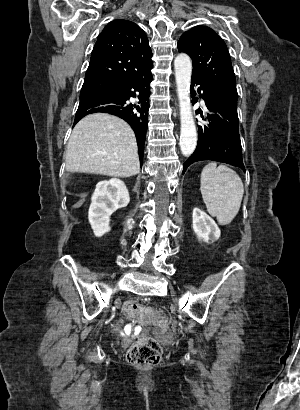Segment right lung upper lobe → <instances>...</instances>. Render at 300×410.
Instances as JSON below:
<instances>
[{
	"instance_id": "cb5924a9",
	"label": "right lung upper lobe",
	"mask_w": 300,
	"mask_h": 410,
	"mask_svg": "<svg viewBox=\"0 0 300 410\" xmlns=\"http://www.w3.org/2000/svg\"><path fill=\"white\" fill-rule=\"evenodd\" d=\"M151 57L147 36L138 25L121 19L111 21L95 43L84 82L113 87L126 77L149 72Z\"/></svg>"
}]
</instances>
